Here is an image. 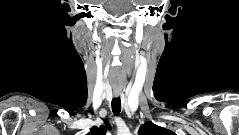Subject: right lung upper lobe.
I'll use <instances>...</instances> for the list:
<instances>
[{"instance_id":"1","label":"right lung upper lobe","mask_w":239,"mask_h":135,"mask_svg":"<svg viewBox=\"0 0 239 135\" xmlns=\"http://www.w3.org/2000/svg\"><path fill=\"white\" fill-rule=\"evenodd\" d=\"M105 124L107 125L108 128H110V124L107 120H105ZM105 134L106 128L104 126L100 127L93 126L87 135H105Z\"/></svg>"}]
</instances>
